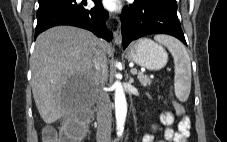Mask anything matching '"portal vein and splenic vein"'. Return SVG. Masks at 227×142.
Wrapping results in <instances>:
<instances>
[{"label":"portal vein and splenic vein","instance_id":"1","mask_svg":"<svg viewBox=\"0 0 227 142\" xmlns=\"http://www.w3.org/2000/svg\"><path fill=\"white\" fill-rule=\"evenodd\" d=\"M131 73H132L133 75H136V74H137V70L132 69V70H131Z\"/></svg>","mask_w":227,"mask_h":142}]
</instances>
